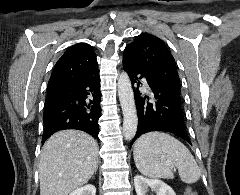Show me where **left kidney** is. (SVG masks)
Masks as SVG:
<instances>
[{
	"instance_id": "5707ae66",
	"label": "left kidney",
	"mask_w": 240,
	"mask_h": 195,
	"mask_svg": "<svg viewBox=\"0 0 240 195\" xmlns=\"http://www.w3.org/2000/svg\"><path fill=\"white\" fill-rule=\"evenodd\" d=\"M134 185L137 195H146L149 187L152 191H156V195H176L174 189L162 179H148L144 175H135Z\"/></svg>"
}]
</instances>
